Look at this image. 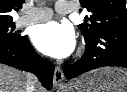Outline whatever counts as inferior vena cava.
I'll use <instances>...</instances> for the list:
<instances>
[{"label": "inferior vena cava", "instance_id": "inferior-vena-cava-1", "mask_svg": "<svg viewBox=\"0 0 127 92\" xmlns=\"http://www.w3.org/2000/svg\"><path fill=\"white\" fill-rule=\"evenodd\" d=\"M38 82L37 77L33 74L28 75L27 85H26V92H35V86Z\"/></svg>", "mask_w": 127, "mask_h": 92}]
</instances>
